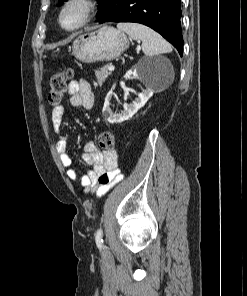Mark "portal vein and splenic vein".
<instances>
[{
  "mask_svg": "<svg viewBox=\"0 0 247 296\" xmlns=\"http://www.w3.org/2000/svg\"><path fill=\"white\" fill-rule=\"evenodd\" d=\"M114 69H115L114 65L110 64V65L108 66V70H109V71H113Z\"/></svg>",
  "mask_w": 247,
  "mask_h": 296,
  "instance_id": "obj_1",
  "label": "portal vein and splenic vein"
}]
</instances>
